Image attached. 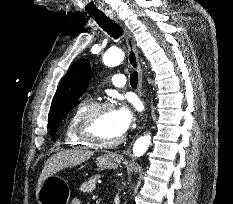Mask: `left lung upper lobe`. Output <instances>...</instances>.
Segmentation results:
<instances>
[{"label": "left lung upper lobe", "mask_w": 233, "mask_h": 204, "mask_svg": "<svg viewBox=\"0 0 233 204\" xmlns=\"http://www.w3.org/2000/svg\"><path fill=\"white\" fill-rule=\"evenodd\" d=\"M90 79L91 66L84 59L74 64L61 81L53 98L49 115V127L52 139L60 122L86 91Z\"/></svg>", "instance_id": "obj_1"}]
</instances>
